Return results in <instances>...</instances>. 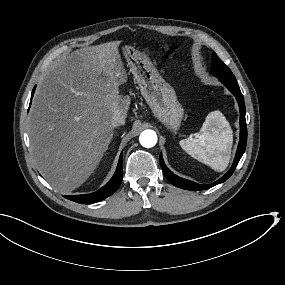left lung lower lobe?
Segmentation results:
<instances>
[{
    "instance_id": "left-lung-lower-lobe-1",
    "label": "left lung lower lobe",
    "mask_w": 285,
    "mask_h": 285,
    "mask_svg": "<svg viewBox=\"0 0 285 285\" xmlns=\"http://www.w3.org/2000/svg\"><path fill=\"white\" fill-rule=\"evenodd\" d=\"M220 81L234 94V96L236 97L238 101L239 109H240V141H239V145H238V149H237L234 162L230 170L222 178H220L219 180L211 184L201 185V184L192 182L190 180L181 178L175 175L173 172H171L165 165L163 158H162V154H160V165H161L163 174L176 187L186 189V190L196 191V190L209 189L217 184H220L226 181L233 174L239 160L241 159L243 153L245 152L246 143H247V128H246V120H245L246 109H245L243 95L240 91V88L238 86L236 79H231V80L224 79Z\"/></svg>"
}]
</instances>
